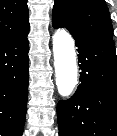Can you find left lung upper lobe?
<instances>
[{"label": "left lung upper lobe", "instance_id": "1", "mask_svg": "<svg viewBox=\"0 0 117 136\" xmlns=\"http://www.w3.org/2000/svg\"><path fill=\"white\" fill-rule=\"evenodd\" d=\"M53 20L73 30L113 37L109 10L104 0H55Z\"/></svg>", "mask_w": 117, "mask_h": 136}]
</instances>
